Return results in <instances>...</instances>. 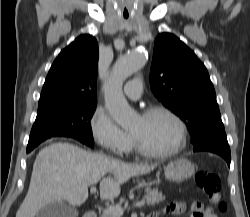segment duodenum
<instances>
[{
  "label": "duodenum",
  "mask_w": 250,
  "mask_h": 217,
  "mask_svg": "<svg viewBox=\"0 0 250 217\" xmlns=\"http://www.w3.org/2000/svg\"><path fill=\"white\" fill-rule=\"evenodd\" d=\"M84 217H97V212L95 209H89L85 212ZM149 217H156V213L150 215Z\"/></svg>",
  "instance_id": "1"
}]
</instances>
